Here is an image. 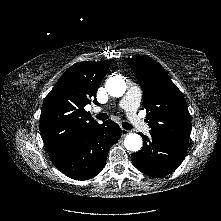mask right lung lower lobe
Listing matches in <instances>:
<instances>
[{"instance_id": "obj_1", "label": "right lung lower lobe", "mask_w": 221, "mask_h": 221, "mask_svg": "<svg viewBox=\"0 0 221 221\" xmlns=\"http://www.w3.org/2000/svg\"><path fill=\"white\" fill-rule=\"evenodd\" d=\"M120 136L121 129L115 122L104 121L88 129L62 152L51 156V160L72 179H90L104 168L108 151Z\"/></svg>"}]
</instances>
